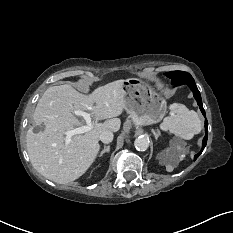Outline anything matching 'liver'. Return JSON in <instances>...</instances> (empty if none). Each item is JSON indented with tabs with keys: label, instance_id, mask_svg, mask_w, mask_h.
I'll return each mask as SVG.
<instances>
[{
	"label": "liver",
	"instance_id": "obj_1",
	"mask_svg": "<svg viewBox=\"0 0 233 233\" xmlns=\"http://www.w3.org/2000/svg\"><path fill=\"white\" fill-rule=\"evenodd\" d=\"M124 109L123 80L98 87L89 95L68 84L49 87L33 113L34 124H44L45 128L35 133L31 127L26 135L32 166L42 176L59 184L78 179L89 169L100 150V134L119 130L121 121L116 117ZM76 110L89 112L92 129L74 135L66 143L64 132L84 124V120L73 114Z\"/></svg>",
	"mask_w": 233,
	"mask_h": 233
}]
</instances>
